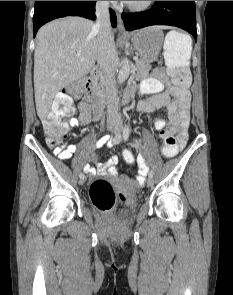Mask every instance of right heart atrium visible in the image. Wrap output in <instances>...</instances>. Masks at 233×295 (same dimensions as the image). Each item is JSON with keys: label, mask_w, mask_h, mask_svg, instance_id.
Returning <instances> with one entry per match:
<instances>
[{"label": "right heart atrium", "mask_w": 233, "mask_h": 295, "mask_svg": "<svg viewBox=\"0 0 233 295\" xmlns=\"http://www.w3.org/2000/svg\"><path fill=\"white\" fill-rule=\"evenodd\" d=\"M101 2H104V3H106V2H109V1H101Z\"/></svg>", "instance_id": "d8ad5b80"}]
</instances>
